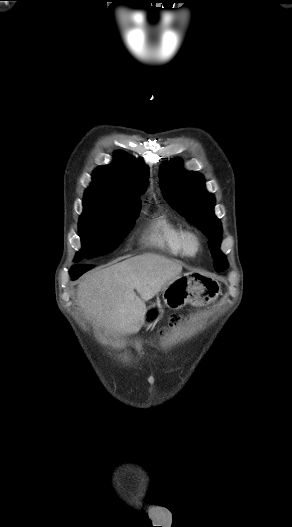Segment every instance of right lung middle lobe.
Instances as JSON below:
<instances>
[{
	"label": "right lung middle lobe",
	"mask_w": 292,
	"mask_h": 527,
	"mask_svg": "<svg viewBox=\"0 0 292 527\" xmlns=\"http://www.w3.org/2000/svg\"><path fill=\"white\" fill-rule=\"evenodd\" d=\"M140 210L141 203L118 204L84 196V212L79 220L82 249L74 261L105 255L115 249L133 228Z\"/></svg>",
	"instance_id": "1"
}]
</instances>
